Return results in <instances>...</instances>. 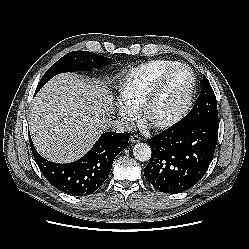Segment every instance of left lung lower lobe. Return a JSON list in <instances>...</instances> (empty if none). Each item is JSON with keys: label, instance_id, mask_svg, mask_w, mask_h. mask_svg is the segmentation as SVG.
<instances>
[{"label": "left lung lower lobe", "instance_id": "obj_1", "mask_svg": "<svg viewBox=\"0 0 249 249\" xmlns=\"http://www.w3.org/2000/svg\"><path fill=\"white\" fill-rule=\"evenodd\" d=\"M219 122L182 119L147 142L151 159L144 168L146 180L157 190L180 193L206 173L214 156Z\"/></svg>", "mask_w": 249, "mask_h": 249}]
</instances>
